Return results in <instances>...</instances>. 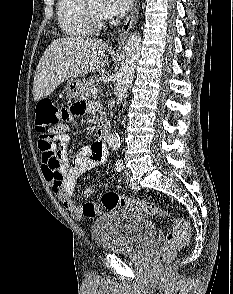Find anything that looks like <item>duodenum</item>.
Here are the masks:
<instances>
[{"instance_id": "obj_1", "label": "duodenum", "mask_w": 233, "mask_h": 294, "mask_svg": "<svg viewBox=\"0 0 233 294\" xmlns=\"http://www.w3.org/2000/svg\"><path fill=\"white\" fill-rule=\"evenodd\" d=\"M109 124L105 119H102L97 127V140L101 144H106L108 136H109Z\"/></svg>"}]
</instances>
